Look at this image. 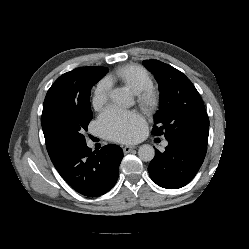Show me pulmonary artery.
I'll list each match as a JSON object with an SVG mask.
<instances>
[{
    "label": "pulmonary artery",
    "mask_w": 249,
    "mask_h": 249,
    "mask_svg": "<svg viewBox=\"0 0 249 249\" xmlns=\"http://www.w3.org/2000/svg\"><path fill=\"white\" fill-rule=\"evenodd\" d=\"M168 145V142L167 141H164L163 142V146H167Z\"/></svg>",
    "instance_id": "e3ab8cb5"
}]
</instances>
